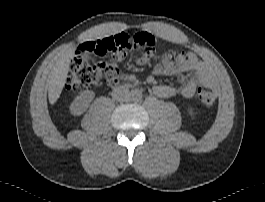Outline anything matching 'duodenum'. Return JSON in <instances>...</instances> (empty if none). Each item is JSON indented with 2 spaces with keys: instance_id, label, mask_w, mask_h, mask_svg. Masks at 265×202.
Returning a JSON list of instances; mask_svg holds the SVG:
<instances>
[{
  "instance_id": "1",
  "label": "duodenum",
  "mask_w": 265,
  "mask_h": 202,
  "mask_svg": "<svg viewBox=\"0 0 265 202\" xmlns=\"http://www.w3.org/2000/svg\"><path fill=\"white\" fill-rule=\"evenodd\" d=\"M124 86H128V84L126 83Z\"/></svg>"
}]
</instances>
